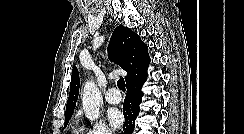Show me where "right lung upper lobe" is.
<instances>
[{"label":"right lung upper lobe","instance_id":"right-lung-upper-lobe-1","mask_svg":"<svg viewBox=\"0 0 244 134\" xmlns=\"http://www.w3.org/2000/svg\"><path fill=\"white\" fill-rule=\"evenodd\" d=\"M147 45L140 36L127 27L118 26L110 39L109 59L127 72L126 83L147 76L150 57ZM79 74L76 67L72 70L70 93L66 105V115L73 114L79 94Z\"/></svg>","mask_w":244,"mask_h":134}]
</instances>
